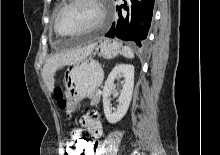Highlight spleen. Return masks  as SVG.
Masks as SVG:
<instances>
[{"mask_svg": "<svg viewBox=\"0 0 220 155\" xmlns=\"http://www.w3.org/2000/svg\"><path fill=\"white\" fill-rule=\"evenodd\" d=\"M121 54L126 57V58H133L134 57V53L131 50V48H129L128 46H124L122 47V52Z\"/></svg>", "mask_w": 220, "mask_h": 155, "instance_id": "obj_1", "label": "spleen"}]
</instances>
